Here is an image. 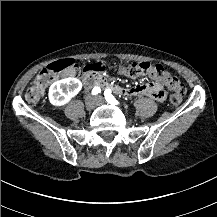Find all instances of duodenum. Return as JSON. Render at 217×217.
<instances>
[{
  "label": "duodenum",
  "instance_id": "obj_1",
  "mask_svg": "<svg viewBox=\"0 0 217 217\" xmlns=\"http://www.w3.org/2000/svg\"><path fill=\"white\" fill-rule=\"evenodd\" d=\"M83 84L87 89L100 86L105 88V91L107 90L114 94H127L129 92L128 89H125L119 85L112 84L106 78L95 71H89L84 75Z\"/></svg>",
  "mask_w": 217,
  "mask_h": 217
}]
</instances>
